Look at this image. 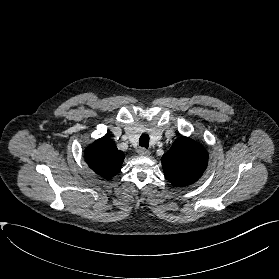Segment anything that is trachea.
I'll return each mask as SVG.
<instances>
[{
  "instance_id": "trachea-1",
  "label": "trachea",
  "mask_w": 279,
  "mask_h": 279,
  "mask_svg": "<svg viewBox=\"0 0 279 279\" xmlns=\"http://www.w3.org/2000/svg\"><path fill=\"white\" fill-rule=\"evenodd\" d=\"M139 145L145 148L149 146V136L147 134H142L139 139Z\"/></svg>"
}]
</instances>
